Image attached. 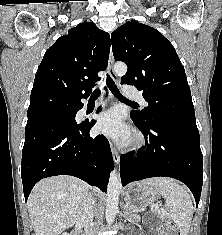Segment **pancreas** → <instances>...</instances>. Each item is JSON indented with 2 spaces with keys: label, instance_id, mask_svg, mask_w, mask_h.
Listing matches in <instances>:
<instances>
[{
  "label": "pancreas",
  "instance_id": "pancreas-1",
  "mask_svg": "<svg viewBox=\"0 0 222 235\" xmlns=\"http://www.w3.org/2000/svg\"><path fill=\"white\" fill-rule=\"evenodd\" d=\"M159 214H160V216L162 217V213L160 212Z\"/></svg>",
  "mask_w": 222,
  "mask_h": 235
}]
</instances>
